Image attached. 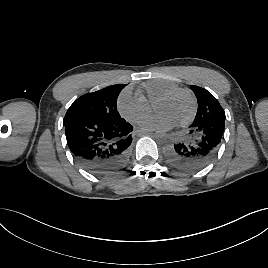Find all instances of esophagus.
Instances as JSON below:
<instances>
[{
	"mask_svg": "<svg viewBox=\"0 0 268 268\" xmlns=\"http://www.w3.org/2000/svg\"><path fill=\"white\" fill-rule=\"evenodd\" d=\"M149 132H150V131H147V130H145V129H141V128H139V129L136 130V133H137L138 135L147 134V133H149Z\"/></svg>",
	"mask_w": 268,
	"mask_h": 268,
	"instance_id": "34e87169",
	"label": "esophagus"
}]
</instances>
